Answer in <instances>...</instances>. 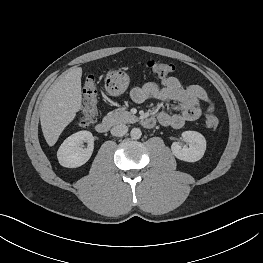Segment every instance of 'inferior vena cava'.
Masks as SVG:
<instances>
[{
	"label": "inferior vena cava",
	"mask_w": 263,
	"mask_h": 263,
	"mask_svg": "<svg viewBox=\"0 0 263 263\" xmlns=\"http://www.w3.org/2000/svg\"><path fill=\"white\" fill-rule=\"evenodd\" d=\"M128 132V127L124 124L116 125L111 129V134L113 136H123Z\"/></svg>",
	"instance_id": "602c4592"
}]
</instances>
